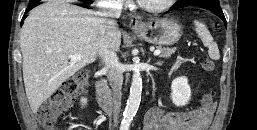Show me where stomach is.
I'll return each instance as SVG.
<instances>
[{
	"mask_svg": "<svg viewBox=\"0 0 257 130\" xmlns=\"http://www.w3.org/2000/svg\"><path fill=\"white\" fill-rule=\"evenodd\" d=\"M134 31L151 44L172 45L181 37L182 26L174 19L163 18L144 23Z\"/></svg>",
	"mask_w": 257,
	"mask_h": 130,
	"instance_id": "stomach-1",
	"label": "stomach"
}]
</instances>
